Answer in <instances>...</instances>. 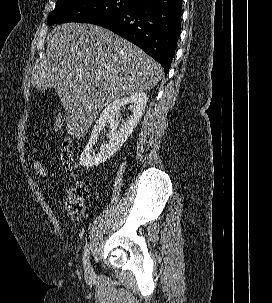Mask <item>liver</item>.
Instances as JSON below:
<instances>
[{"label": "liver", "instance_id": "6515ba94", "mask_svg": "<svg viewBox=\"0 0 272 303\" xmlns=\"http://www.w3.org/2000/svg\"><path fill=\"white\" fill-rule=\"evenodd\" d=\"M164 71L143 50L93 24H60L32 70L37 90L53 87L65 108L68 133L81 138L105 105L154 88Z\"/></svg>", "mask_w": 272, "mask_h": 303}]
</instances>
